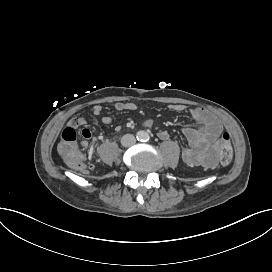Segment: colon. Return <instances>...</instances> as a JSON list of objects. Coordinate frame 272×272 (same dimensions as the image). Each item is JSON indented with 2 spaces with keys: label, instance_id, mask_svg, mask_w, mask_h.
Returning <instances> with one entry per match:
<instances>
[{
  "label": "colon",
  "instance_id": "1",
  "mask_svg": "<svg viewBox=\"0 0 272 272\" xmlns=\"http://www.w3.org/2000/svg\"><path fill=\"white\" fill-rule=\"evenodd\" d=\"M59 145L58 156L60 160L66 162L70 169L83 172L85 170V160L81 149L78 147V133L76 129L72 127L63 129L59 135ZM212 155L216 156L221 163L231 162L233 149L228 133L220 135Z\"/></svg>",
  "mask_w": 272,
  "mask_h": 272
}]
</instances>
